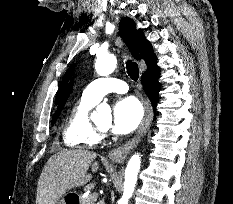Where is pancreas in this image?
I'll return each mask as SVG.
<instances>
[{
	"instance_id": "1",
	"label": "pancreas",
	"mask_w": 233,
	"mask_h": 204,
	"mask_svg": "<svg viewBox=\"0 0 233 204\" xmlns=\"http://www.w3.org/2000/svg\"><path fill=\"white\" fill-rule=\"evenodd\" d=\"M90 189H92V185H87L85 187V191H88ZM96 201L97 197L93 193L85 197L83 196V194L80 195V204H103L102 202L96 203Z\"/></svg>"
}]
</instances>
